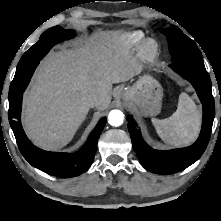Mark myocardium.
I'll use <instances>...</instances> for the list:
<instances>
[{"label":"myocardium","instance_id":"obj_1","mask_svg":"<svg viewBox=\"0 0 221 221\" xmlns=\"http://www.w3.org/2000/svg\"><path fill=\"white\" fill-rule=\"evenodd\" d=\"M158 50L159 46L157 41L154 39H147L142 45L141 54L145 60L151 61L156 57Z\"/></svg>","mask_w":221,"mask_h":221}]
</instances>
